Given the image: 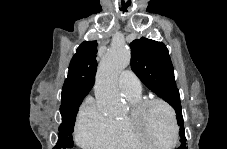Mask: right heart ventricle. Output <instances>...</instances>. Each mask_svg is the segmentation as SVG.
I'll use <instances>...</instances> for the list:
<instances>
[{
    "instance_id": "1",
    "label": "right heart ventricle",
    "mask_w": 227,
    "mask_h": 149,
    "mask_svg": "<svg viewBox=\"0 0 227 149\" xmlns=\"http://www.w3.org/2000/svg\"><path fill=\"white\" fill-rule=\"evenodd\" d=\"M131 105L142 100L141 95L126 96ZM109 146L115 149H141L146 146L131 131L127 117L113 119L112 136Z\"/></svg>"
}]
</instances>
